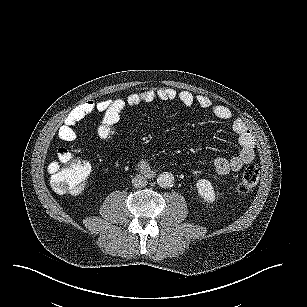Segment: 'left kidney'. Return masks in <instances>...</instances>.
<instances>
[{
  "instance_id": "5707ae66",
  "label": "left kidney",
  "mask_w": 307,
  "mask_h": 307,
  "mask_svg": "<svg viewBox=\"0 0 307 307\" xmlns=\"http://www.w3.org/2000/svg\"><path fill=\"white\" fill-rule=\"evenodd\" d=\"M197 187L201 196H203L208 201H213L215 194L212 188V184L207 180H199Z\"/></svg>"
}]
</instances>
